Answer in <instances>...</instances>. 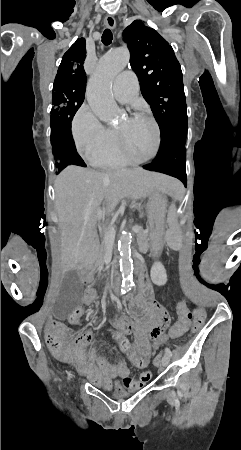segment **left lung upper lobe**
Masks as SVG:
<instances>
[{"mask_svg": "<svg viewBox=\"0 0 241 450\" xmlns=\"http://www.w3.org/2000/svg\"><path fill=\"white\" fill-rule=\"evenodd\" d=\"M123 37L142 95L151 106L163 134L175 121L187 118L180 64L169 43L141 20L129 25Z\"/></svg>", "mask_w": 241, "mask_h": 450, "instance_id": "left-lung-upper-lobe-1", "label": "left lung upper lobe"}]
</instances>
